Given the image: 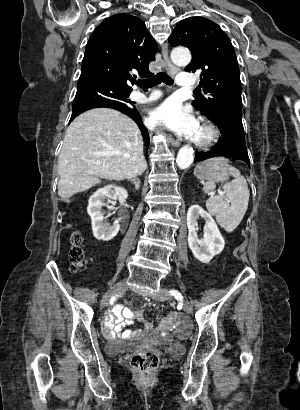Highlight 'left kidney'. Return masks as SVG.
Returning a JSON list of instances; mask_svg holds the SVG:
<instances>
[{
    "label": "left kidney",
    "mask_w": 300,
    "mask_h": 410,
    "mask_svg": "<svg viewBox=\"0 0 300 410\" xmlns=\"http://www.w3.org/2000/svg\"><path fill=\"white\" fill-rule=\"evenodd\" d=\"M205 220L204 238L197 235V219ZM188 245L194 257L203 263H209L215 255L224 249L225 241L213 217L199 205H192L187 212Z\"/></svg>",
    "instance_id": "obj_1"
}]
</instances>
